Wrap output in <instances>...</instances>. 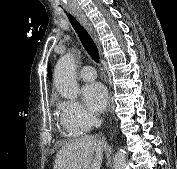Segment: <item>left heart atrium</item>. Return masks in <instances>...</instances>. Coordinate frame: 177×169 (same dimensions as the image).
Segmentation results:
<instances>
[{
  "label": "left heart atrium",
  "mask_w": 177,
  "mask_h": 169,
  "mask_svg": "<svg viewBox=\"0 0 177 169\" xmlns=\"http://www.w3.org/2000/svg\"><path fill=\"white\" fill-rule=\"evenodd\" d=\"M82 98L93 113H101L108 105V92L99 82H92L82 88Z\"/></svg>",
  "instance_id": "obj_1"
}]
</instances>
